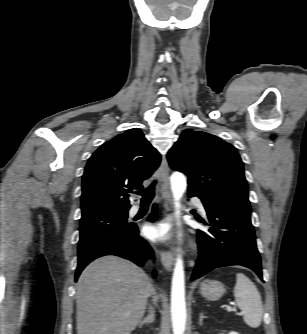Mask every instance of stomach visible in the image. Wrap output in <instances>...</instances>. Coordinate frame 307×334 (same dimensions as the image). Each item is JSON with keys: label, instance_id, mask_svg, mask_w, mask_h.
<instances>
[{"label": "stomach", "instance_id": "0dacf381", "mask_svg": "<svg viewBox=\"0 0 307 334\" xmlns=\"http://www.w3.org/2000/svg\"><path fill=\"white\" fill-rule=\"evenodd\" d=\"M201 295L210 301L221 298L225 292L224 285L216 280H205L200 284Z\"/></svg>", "mask_w": 307, "mask_h": 334}]
</instances>
